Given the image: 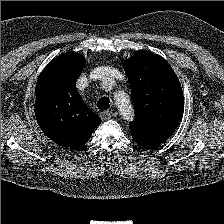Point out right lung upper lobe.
<instances>
[{
    "mask_svg": "<svg viewBox=\"0 0 224 224\" xmlns=\"http://www.w3.org/2000/svg\"><path fill=\"white\" fill-rule=\"evenodd\" d=\"M84 63L83 56L64 53L45 67L36 84L35 116L40 128L53 142L75 150L101 123L75 85Z\"/></svg>",
    "mask_w": 224,
    "mask_h": 224,
    "instance_id": "1",
    "label": "right lung upper lobe"
}]
</instances>
